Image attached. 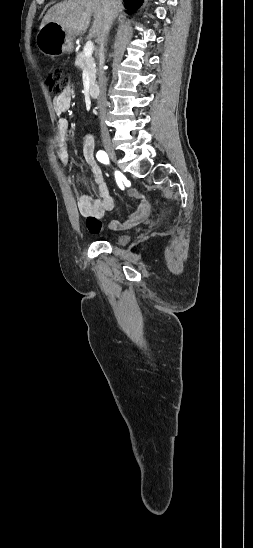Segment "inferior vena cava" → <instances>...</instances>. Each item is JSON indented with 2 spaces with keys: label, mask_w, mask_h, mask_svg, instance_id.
Listing matches in <instances>:
<instances>
[{
  "label": "inferior vena cava",
  "mask_w": 253,
  "mask_h": 548,
  "mask_svg": "<svg viewBox=\"0 0 253 548\" xmlns=\"http://www.w3.org/2000/svg\"><path fill=\"white\" fill-rule=\"evenodd\" d=\"M103 8H104V20L102 24V28L100 31V34L98 36V43H99V88H100V95L98 97L97 103L99 107L100 113L98 114V119L100 120L99 125L101 126V136L103 139H109V133L108 129L106 127V119H105V113H106V107H107V99H106V90H107V79L104 72V50L105 45L108 37V33L110 31L112 21L117 15L118 11V1L117 0H103Z\"/></svg>",
  "instance_id": "obj_1"
}]
</instances>
